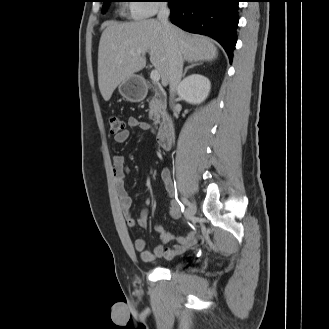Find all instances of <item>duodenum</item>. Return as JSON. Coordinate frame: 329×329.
Listing matches in <instances>:
<instances>
[{"label": "duodenum", "mask_w": 329, "mask_h": 329, "mask_svg": "<svg viewBox=\"0 0 329 329\" xmlns=\"http://www.w3.org/2000/svg\"><path fill=\"white\" fill-rule=\"evenodd\" d=\"M159 145L164 149H169L173 145L174 128L169 116H164L160 122L157 134Z\"/></svg>", "instance_id": "obj_1"}]
</instances>
